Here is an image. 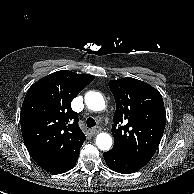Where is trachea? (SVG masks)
I'll return each instance as SVG.
<instances>
[{
	"mask_svg": "<svg viewBox=\"0 0 194 194\" xmlns=\"http://www.w3.org/2000/svg\"><path fill=\"white\" fill-rule=\"evenodd\" d=\"M86 125H87L88 128L94 127L96 125V122H95L94 118L89 117L86 121Z\"/></svg>",
	"mask_w": 194,
	"mask_h": 194,
	"instance_id": "3493384b",
	"label": "trachea"
}]
</instances>
